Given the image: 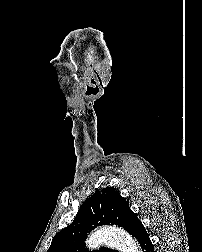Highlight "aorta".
<instances>
[{
	"instance_id": "762f6f07",
	"label": "aorta",
	"mask_w": 202,
	"mask_h": 252,
	"mask_svg": "<svg viewBox=\"0 0 202 252\" xmlns=\"http://www.w3.org/2000/svg\"><path fill=\"white\" fill-rule=\"evenodd\" d=\"M103 243L116 248L120 252H139L135 239L120 228H101L91 234L86 241L88 248H96Z\"/></svg>"
}]
</instances>
